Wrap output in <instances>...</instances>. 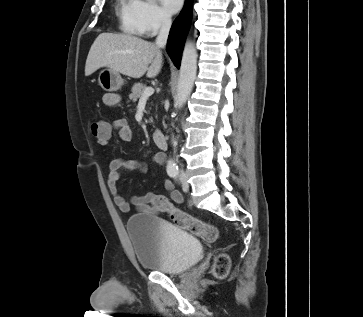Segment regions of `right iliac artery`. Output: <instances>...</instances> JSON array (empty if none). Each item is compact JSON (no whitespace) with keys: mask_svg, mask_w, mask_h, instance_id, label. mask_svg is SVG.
<instances>
[{"mask_svg":"<svg viewBox=\"0 0 363 317\" xmlns=\"http://www.w3.org/2000/svg\"><path fill=\"white\" fill-rule=\"evenodd\" d=\"M168 174L171 177H175L177 175V171H169Z\"/></svg>","mask_w":363,"mask_h":317,"instance_id":"82829eb1","label":"right iliac artery"}]
</instances>
